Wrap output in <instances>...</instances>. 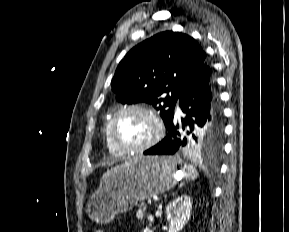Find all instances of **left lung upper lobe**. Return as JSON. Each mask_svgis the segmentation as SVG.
<instances>
[{"mask_svg":"<svg viewBox=\"0 0 289 232\" xmlns=\"http://www.w3.org/2000/svg\"><path fill=\"white\" fill-rule=\"evenodd\" d=\"M206 62V54L190 36L166 31L132 48L119 63L111 82L121 103L147 102L157 110L166 129L181 94ZM223 123L208 125L188 136L186 152L221 151Z\"/></svg>","mask_w":289,"mask_h":232,"instance_id":"obj_1","label":"left lung upper lobe"}]
</instances>
